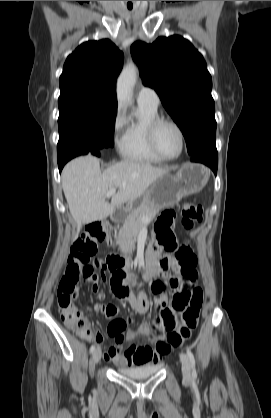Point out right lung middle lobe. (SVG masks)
<instances>
[{
    "label": "right lung middle lobe",
    "instance_id": "1",
    "mask_svg": "<svg viewBox=\"0 0 271 418\" xmlns=\"http://www.w3.org/2000/svg\"><path fill=\"white\" fill-rule=\"evenodd\" d=\"M58 105V155L87 154L92 150L113 147L117 106L83 101H70Z\"/></svg>",
    "mask_w": 271,
    "mask_h": 418
}]
</instances>
